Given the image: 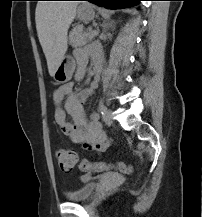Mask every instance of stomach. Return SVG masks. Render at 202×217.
Returning a JSON list of instances; mask_svg holds the SVG:
<instances>
[{"label": "stomach", "instance_id": "obj_1", "mask_svg": "<svg viewBox=\"0 0 202 217\" xmlns=\"http://www.w3.org/2000/svg\"><path fill=\"white\" fill-rule=\"evenodd\" d=\"M77 16L80 20L90 21L94 18L95 12L92 6H81L77 10ZM75 64L72 59L64 57L58 65L53 78L58 83H65L72 78Z\"/></svg>", "mask_w": 202, "mask_h": 217}]
</instances>
